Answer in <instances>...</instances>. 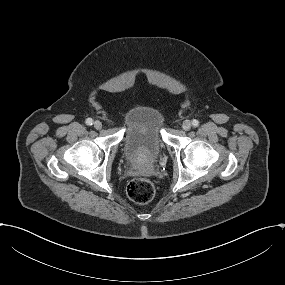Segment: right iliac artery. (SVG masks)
Segmentation results:
<instances>
[{
    "instance_id": "right-iliac-artery-1",
    "label": "right iliac artery",
    "mask_w": 285,
    "mask_h": 285,
    "mask_svg": "<svg viewBox=\"0 0 285 285\" xmlns=\"http://www.w3.org/2000/svg\"><path fill=\"white\" fill-rule=\"evenodd\" d=\"M86 124L87 125H92L93 124V120L91 118L86 119Z\"/></svg>"
}]
</instances>
